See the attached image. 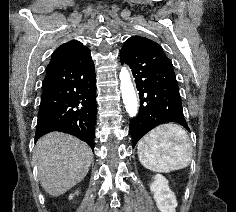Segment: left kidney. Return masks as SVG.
I'll return each mask as SVG.
<instances>
[{
	"label": "left kidney",
	"instance_id": "1",
	"mask_svg": "<svg viewBox=\"0 0 236 212\" xmlns=\"http://www.w3.org/2000/svg\"><path fill=\"white\" fill-rule=\"evenodd\" d=\"M150 185L156 205L161 212H175L177 201L175 194L170 190L168 180L161 174L154 177Z\"/></svg>",
	"mask_w": 236,
	"mask_h": 212
}]
</instances>
